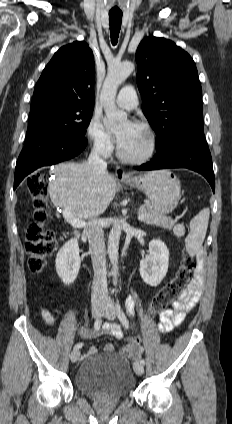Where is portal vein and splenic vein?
I'll list each match as a JSON object with an SVG mask.
<instances>
[{"instance_id": "1", "label": "portal vein and splenic vein", "mask_w": 232, "mask_h": 424, "mask_svg": "<svg viewBox=\"0 0 232 424\" xmlns=\"http://www.w3.org/2000/svg\"><path fill=\"white\" fill-rule=\"evenodd\" d=\"M63 217L70 225L74 227L82 228L86 226V222L84 220L75 218L69 208L63 211ZM144 219H145V214L139 213L138 220L142 221Z\"/></svg>"}]
</instances>
